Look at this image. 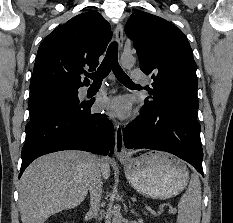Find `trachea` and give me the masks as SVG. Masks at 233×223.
Masks as SVG:
<instances>
[{
    "mask_svg": "<svg viewBox=\"0 0 233 223\" xmlns=\"http://www.w3.org/2000/svg\"><path fill=\"white\" fill-rule=\"evenodd\" d=\"M113 70V73L117 80L123 84L134 85L132 80L126 75L122 70L121 66L118 63V43L112 42L107 50L103 62L99 66L97 72L89 73L87 76L92 78L93 83H101L110 71Z\"/></svg>",
    "mask_w": 233,
    "mask_h": 223,
    "instance_id": "obj_1",
    "label": "trachea"
}]
</instances>
